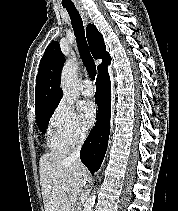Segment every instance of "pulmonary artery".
I'll return each instance as SVG.
<instances>
[{
	"label": "pulmonary artery",
	"mask_w": 178,
	"mask_h": 211,
	"mask_svg": "<svg viewBox=\"0 0 178 211\" xmlns=\"http://www.w3.org/2000/svg\"><path fill=\"white\" fill-rule=\"evenodd\" d=\"M81 92L84 96L90 97L93 95V85L90 80H85L81 84Z\"/></svg>",
	"instance_id": "obj_1"
}]
</instances>
